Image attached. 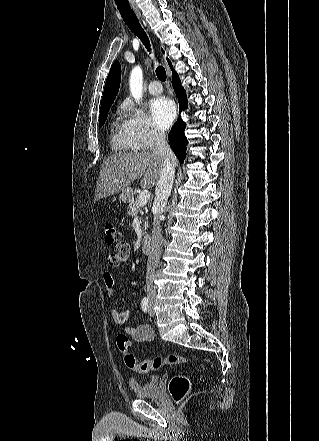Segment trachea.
<instances>
[{
  "label": "trachea",
  "instance_id": "3493384b",
  "mask_svg": "<svg viewBox=\"0 0 319 441\" xmlns=\"http://www.w3.org/2000/svg\"><path fill=\"white\" fill-rule=\"evenodd\" d=\"M117 8L121 14V17L123 18L126 25L129 27V29L141 40L143 45L147 48V50L150 52V41L140 25L138 18L136 17L134 11L131 9L130 6L125 5H117ZM156 75L160 81L166 80V71L163 66L159 65L156 68Z\"/></svg>",
  "mask_w": 319,
  "mask_h": 441
}]
</instances>
